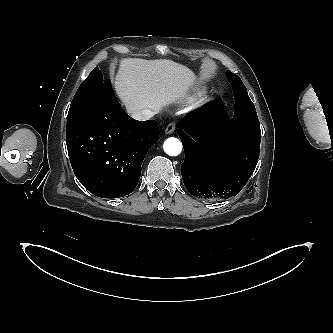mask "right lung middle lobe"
<instances>
[{
	"instance_id": "obj_1",
	"label": "right lung middle lobe",
	"mask_w": 333,
	"mask_h": 333,
	"mask_svg": "<svg viewBox=\"0 0 333 333\" xmlns=\"http://www.w3.org/2000/svg\"><path fill=\"white\" fill-rule=\"evenodd\" d=\"M109 80H104L102 72L96 67L79 86L71 102L67 116V125L85 114L100 92L109 86Z\"/></svg>"
}]
</instances>
